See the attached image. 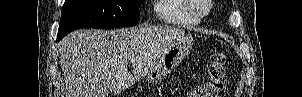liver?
Segmentation results:
<instances>
[{"label":"liver","mask_w":302,"mask_h":97,"mask_svg":"<svg viewBox=\"0 0 302 97\" xmlns=\"http://www.w3.org/2000/svg\"><path fill=\"white\" fill-rule=\"evenodd\" d=\"M182 33L167 26L70 33L60 42L66 97H100L104 90L121 93L148 74L171 41ZM129 61L133 75L127 69Z\"/></svg>","instance_id":"1"}]
</instances>
